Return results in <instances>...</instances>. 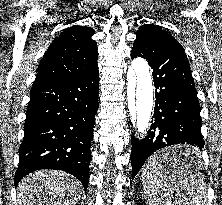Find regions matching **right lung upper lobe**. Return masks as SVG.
Instances as JSON below:
<instances>
[{
    "instance_id": "1",
    "label": "right lung upper lobe",
    "mask_w": 222,
    "mask_h": 205,
    "mask_svg": "<svg viewBox=\"0 0 222 205\" xmlns=\"http://www.w3.org/2000/svg\"><path fill=\"white\" fill-rule=\"evenodd\" d=\"M93 35L94 30L87 26L74 25L64 30L45 52L33 85L77 77L98 67Z\"/></svg>"
}]
</instances>
